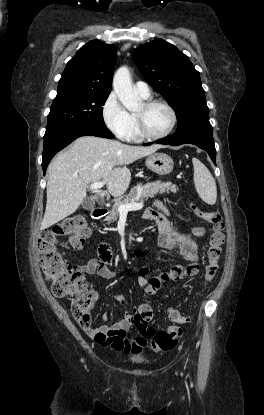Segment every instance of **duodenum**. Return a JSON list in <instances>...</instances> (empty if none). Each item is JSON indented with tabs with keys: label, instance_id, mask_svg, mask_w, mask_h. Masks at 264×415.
<instances>
[{
	"label": "duodenum",
	"instance_id": "410a0bca",
	"mask_svg": "<svg viewBox=\"0 0 264 415\" xmlns=\"http://www.w3.org/2000/svg\"><path fill=\"white\" fill-rule=\"evenodd\" d=\"M107 209L105 207L102 206H96L92 213L93 216L96 219H100L102 217H104V215L106 214ZM98 256L100 258L101 261L103 262H109L112 260V252L110 249V246L106 243H100L98 246Z\"/></svg>",
	"mask_w": 264,
	"mask_h": 415
}]
</instances>
